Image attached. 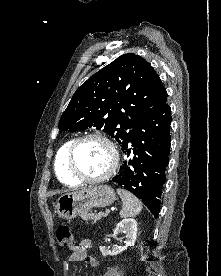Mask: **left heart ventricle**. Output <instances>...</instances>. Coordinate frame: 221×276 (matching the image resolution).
Masks as SVG:
<instances>
[{
    "mask_svg": "<svg viewBox=\"0 0 221 276\" xmlns=\"http://www.w3.org/2000/svg\"><path fill=\"white\" fill-rule=\"evenodd\" d=\"M111 152L108 146L96 139L81 142L74 153V164L84 176L97 177L110 166Z\"/></svg>",
    "mask_w": 221,
    "mask_h": 276,
    "instance_id": "obj_1",
    "label": "left heart ventricle"
}]
</instances>
